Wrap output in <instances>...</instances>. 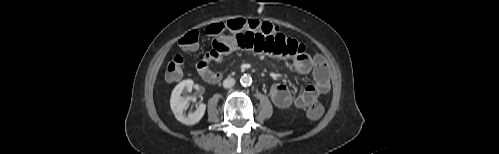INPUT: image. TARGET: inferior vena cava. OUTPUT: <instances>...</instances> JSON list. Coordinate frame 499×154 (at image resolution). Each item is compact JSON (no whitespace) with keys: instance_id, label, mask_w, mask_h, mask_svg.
<instances>
[{"instance_id":"obj_1","label":"inferior vena cava","mask_w":499,"mask_h":154,"mask_svg":"<svg viewBox=\"0 0 499 154\" xmlns=\"http://www.w3.org/2000/svg\"><path fill=\"white\" fill-rule=\"evenodd\" d=\"M235 84V80L233 78H228L223 81L224 88H231Z\"/></svg>"}]
</instances>
